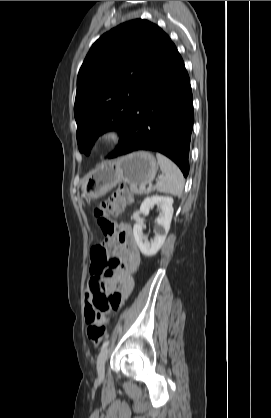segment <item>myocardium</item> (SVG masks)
<instances>
[{
    "mask_svg": "<svg viewBox=\"0 0 271 418\" xmlns=\"http://www.w3.org/2000/svg\"><path fill=\"white\" fill-rule=\"evenodd\" d=\"M121 138L120 131L116 128H106L99 131L93 140L95 150L103 152L116 146Z\"/></svg>",
    "mask_w": 271,
    "mask_h": 418,
    "instance_id": "f54148a6",
    "label": "myocardium"
}]
</instances>
